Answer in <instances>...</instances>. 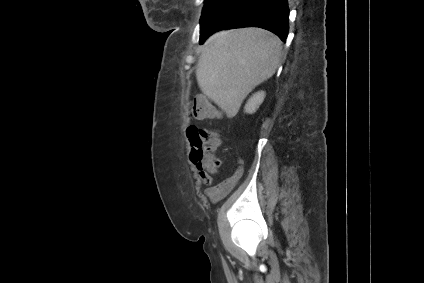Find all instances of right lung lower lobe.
<instances>
[{
    "mask_svg": "<svg viewBox=\"0 0 424 283\" xmlns=\"http://www.w3.org/2000/svg\"><path fill=\"white\" fill-rule=\"evenodd\" d=\"M288 18L287 0H228L201 29L200 43L216 31L243 27L266 29L285 42L289 28Z\"/></svg>",
    "mask_w": 424,
    "mask_h": 283,
    "instance_id": "right-lung-lower-lobe-1",
    "label": "right lung lower lobe"
}]
</instances>
